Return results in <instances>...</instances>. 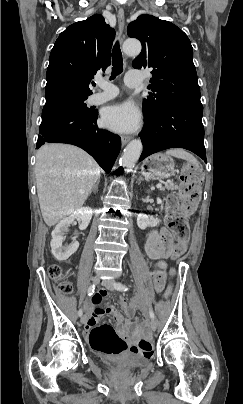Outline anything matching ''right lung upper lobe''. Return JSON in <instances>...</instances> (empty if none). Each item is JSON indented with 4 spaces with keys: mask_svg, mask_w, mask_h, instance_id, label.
<instances>
[{
    "mask_svg": "<svg viewBox=\"0 0 243 404\" xmlns=\"http://www.w3.org/2000/svg\"><path fill=\"white\" fill-rule=\"evenodd\" d=\"M114 37V29L99 14L76 22L63 31L50 53L46 104L91 95V79L111 64Z\"/></svg>",
    "mask_w": 243,
    "mask_h": 404,
    "instance_id": "1",
    "label": "right lung upper lobe"
}]
</instances>
